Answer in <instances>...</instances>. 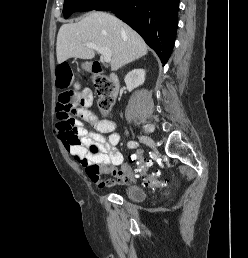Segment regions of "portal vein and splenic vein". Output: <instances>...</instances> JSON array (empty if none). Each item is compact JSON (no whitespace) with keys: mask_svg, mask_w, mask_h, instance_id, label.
<instances>
[{"mask_svg":"<svg viewBox=\"0 0 248 258\" xmlns=\"http://www.w3.org/2000/svg\"><path fill=\"white\" fill-rule=\"evenodd\" d=\"M85 46L100 53L103 56L105 62L109 63L111 61V53L106 48L99 47L94 43H86Z\"/></svg>","mask_w":248,"mask_h":258,"instance_id":"18ae733b","label":"portal vein and splenic vein"}]
</instances>
